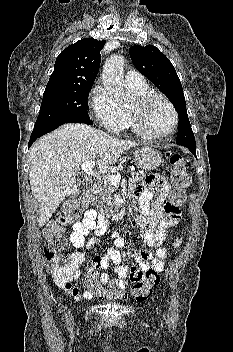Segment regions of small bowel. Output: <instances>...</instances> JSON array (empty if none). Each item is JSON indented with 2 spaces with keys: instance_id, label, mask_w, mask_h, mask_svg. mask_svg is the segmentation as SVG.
Here are the masks:
<instances>
[{
  "instance_id": "small-bowel-1",
  "label": "small bowel",
  "mask_w": 233,
  "mask_h": 352,
  "mask_svg": "<svg viewBox=\"0 0 233 352\" xmlns=\"http://www.w3.org/2000/svg\"><path fill=\"white\" fill-rule=\"evenodd\" d=\"M169 184L157 175H150L144 183L136 186L130 192L132 198L139 201L145 214L136 219L137 225L143 234L147 246L155 250V253L146 250H136L133 258L138 266L128 267L122 261L120 249L125 246L124 238L118 233L113 232L111 241L113 246L102 256L100 268L106 270L111 264L115 266L116 277L113 278L109 273L101 275L103 284L110 287H120L124 289L129 283L140 282L144 274L152 266L162 270L164 260L168 251L162 247L169 228L178 224L181 218L179 207H171L166 199L169 193ZM90 232L96 236H101L106 232V223L95 210L86 211L84 218L73 224L70 234V242L75 248H85L87 250L95 248L99 240L97 238L86 239ZM174 246L180 244L179 238L174 240ZM85 260L83 252L76 251L69 256V263L73 268L72 276L65 281L56 280L57 284L76 300H90L93 295L88 291H80L72 282L81 276L80 267Z\"/></svg>"
}]
</instances>
